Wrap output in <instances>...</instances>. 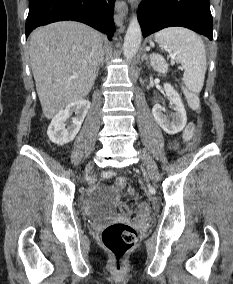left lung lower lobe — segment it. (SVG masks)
Masks as SVG:
<instances>
[{
	"instance_id": "left-lung-lower-lobe-1",
	"label": "left lung lower lobe",
	"mask_w": 233,
	"mask_h": 284,
	"mask_svg": "<svg viewBox=\"0 0 233 284\" xmlns=\"http://www.w3.org/2000/svg\"><path fill=\"white\" fill-rule=\"evenodd\" d=\"M143 37L166 27H186L212 40L209 0H143L137 11Z\"/></svg>"
}]
</instances>
